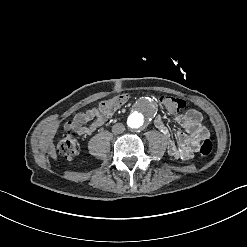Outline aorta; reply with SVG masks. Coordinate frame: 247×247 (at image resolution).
<instances>
[{"label": "aorta", "instance_id": "obj_1", "mask_svg": "<svg viewBox=\"0 0 247 247\" xmlns=\"http://www.w3.org/2000/svg\"><path fill=\"white\" fill-rule=\"evenodd\" d=\"M128 124L131 128H139L143 125V116L142 114L135 112L128 119Z\"/></svg>", "mask_w": 247, "mask_h": 247}]
</instances>
